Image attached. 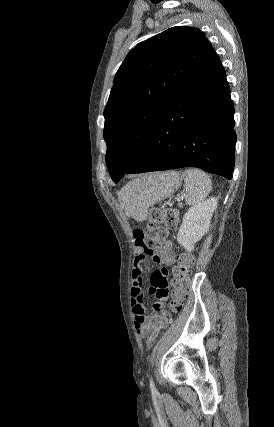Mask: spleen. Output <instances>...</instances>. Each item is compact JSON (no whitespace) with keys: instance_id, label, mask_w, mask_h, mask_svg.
I'll return each mask as SVG.
<instances>
[{"instance_id":"obj_1","label":"spleen","mask_w":274,"mask_h":427,"mask_svg":"<svg viewBox=\"0 0 274 427\" xmlns=\"http://www.w3.org/2000/svg\"><path fill=\"white\" fill-rule=\"evenodd\" d=\"M184 198L187 206L200 204L211 192V180L205 172L201 170H185ZM141 186H148L147 182H142Z\"/></svg>"}]
</instances>
